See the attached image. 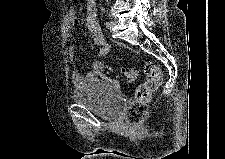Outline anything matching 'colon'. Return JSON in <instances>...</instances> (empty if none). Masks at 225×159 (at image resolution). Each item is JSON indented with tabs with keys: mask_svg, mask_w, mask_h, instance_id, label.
Returning a JSON list of instances; mask_svg holds the SVG:
<instances>
[{
	"mask_svg": "<svg viewBox=\"0 0 225 159\" xmlns=\"http://www.w3.org/2000/svg\"><path fill=\"white\" fill-rule=\"evenodd\" d=\"M121 72L128 82H134L137 78V71L133 68H124ZM142 72L146 80L136 87L134 101L126 112V121L131 125H137L143 120L152 94L162 82L161 68L150 60L144 62Z\"/></svg>",
	"mask_w": 225,
	"mask_h": 159,
	"instance_id": "5ec220e1",
	"label": "colon"
}]
</instances>
